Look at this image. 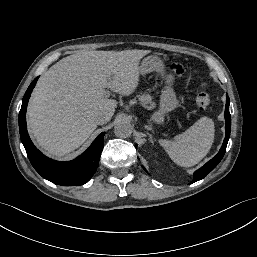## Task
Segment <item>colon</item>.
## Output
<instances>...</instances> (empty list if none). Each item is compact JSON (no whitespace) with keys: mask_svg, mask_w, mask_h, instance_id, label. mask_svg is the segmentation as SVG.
<instances>
[{"mask_svg":"<svg viewBox=\"0 0 257 257\" xmlns=\"http://www.w3.org/2000/svg\"><path fill=\"white\" fill-rule=\"evenodd\" d=\"M195 104H196V107L198 108V110H200V111H205L208 109V107L210 106V96L206 89H202L196 95Z\"/></svg>","mask_w":257,"mask_h":257,"instance_id":"obj_1","label":"colon"}]
</instances>
